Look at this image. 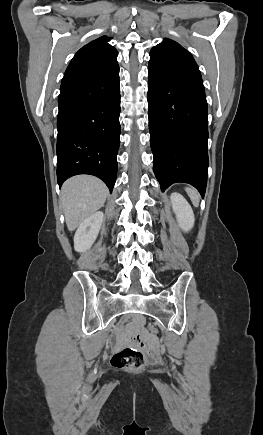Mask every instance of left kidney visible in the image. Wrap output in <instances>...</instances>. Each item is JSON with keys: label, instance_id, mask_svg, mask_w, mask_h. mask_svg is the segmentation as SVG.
<instances>
[{"label": "left kidney", "instance_id": "5707ae66", "mask_svg": "<svg viewBox=\"0 0 263 435\" xmlns=\"http://www.w3.org/2000/svg\"><path fill=\"white\" fill-rule=\"evenodd\" d=\"M170 199L180 228L183 231L188 232L192 229L195 222L194 213L190 204L177 192L171 193Z\"/></svg>", "mask_w": 263, "mask_h": 435}]
</instances>
